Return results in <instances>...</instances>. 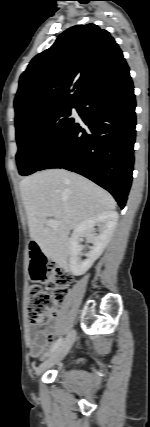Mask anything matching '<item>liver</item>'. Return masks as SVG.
<instances>
[{
	"instance_id": "obj_1",
	"label": "liver",
	"mask_w": 150,
	"mask_h": 427,
	"mask_svg": "<svg viewBox=\"0 0 150 427\" xmlns=\"http://www.w3.org/2000/svg\"><path fill=\"white\" fill-rule=\"evenodd\" d=\"M20 192L31 239L48 258L63 266L70 253V231L81 222L116 208L111 194L65 169H48L23 178ZM48 217L59 225L49 227Z\"/></svg>"
}]
</instances>
